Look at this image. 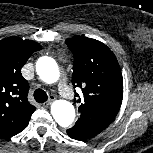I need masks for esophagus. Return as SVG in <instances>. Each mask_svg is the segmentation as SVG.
I'll return each mask as SVG.
<instances>
[{"mask_svg": "<svg viewBox=\"0 0 153 153\" xmlns=\"http://www.w3.org/2000/svg\"><path fill=\"white\" fill-rule=\"evenodd\" d=\"M56 99V97L54 95H50L49 99L47 102H45L43 105L45 107L49 106L54 100Z\"/></svg>", "mask_w": 153, "mask_h": 153, "instance_id": "obj_1", "label": "esophagus"}]
</instances>
